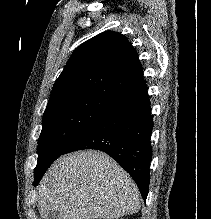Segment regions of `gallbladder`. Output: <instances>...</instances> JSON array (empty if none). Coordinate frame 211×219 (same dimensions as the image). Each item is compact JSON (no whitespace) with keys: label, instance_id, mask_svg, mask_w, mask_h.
I'll return each instance as SVG.
<instances>
[{"label":"gallbladder","instance_id":"gallbladder-1","mask_svg":"<svg viewBox=\"0 0 211 219\" xmlns=\"http://www.w3.org/2000/svg\"><path fill=\"white\" fill-rule=\"evenodd\" d=\"M56 211H50L47 215V218L46 219H56V214H55Z\"/></svg>","mask_w":211,"mask_h":219}]
</instances>
